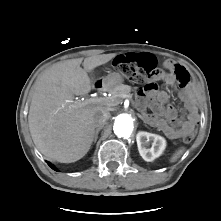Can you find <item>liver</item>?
<instances>
[{"label": "liver", "instance_id": "obj_1", "mask_svg": "<svg viewBox=\"0 0 221 221\" xmlns=\"http://www.w3.org/2000/svg\"><path fill=\"white\" fill-rule=\"evenodd\" d=\"M116 54L58 62L46 69L35 84L28 123L34 144L49 159L72 163L89 151L95 135V115L108 111L101 104L73 101L88 94L93 80L88 72L113 59Z\"/></svg>", "mask_w": 221, "mask_h": 221}]
</instances>
